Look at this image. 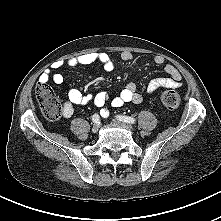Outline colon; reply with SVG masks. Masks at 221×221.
Wrapping results in <instances>:
<instances>
[{
	"mask_svg": "<svg viewBox=\"0 0 221 221\" xmlns=\"http://www.w3.org/2000/svg\"><path fill=\"white\" fill-rule=\"evenodd\" d=\"M35 96L44 116L50 120H57L62 114V107L47 83H38ZM162 104L169 110H175L180 105V97L171 89L164 90L160 96Z\"/></svg>",
	"mask_w": 221,
	"mask_h": 221,
	"instance_id": "obj_1",
	"label": "colon"
}]
</instances>
